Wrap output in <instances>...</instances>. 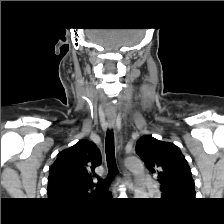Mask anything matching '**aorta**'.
I'll use <instances>...</instances> for the list:
<instances>
[{
    "label": "aorta",
    "mask_w": 224,
    "mask_h": 224,
    "mask_svg": "<svg viewBox=\"0 0 224 224\" xmlns=\"http://www.w3.org/2000/svg\"><path fill=\"white\" fill-rule=\"evenodd\" d=\"M125 166L133 173L135 178V198H147L148 193L143 183L144 166L140 159L128 157L125 159Z\"/></svg>",
    "instance_id": "aorta-1"
}]
</instances>
